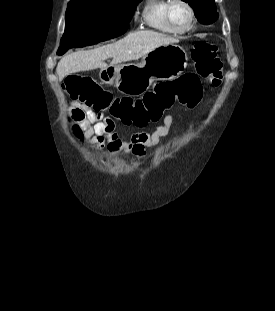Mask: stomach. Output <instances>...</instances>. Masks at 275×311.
<instances>
[{"label": "stomach", "instance_id": "1", "mask_svg": "<svg viewBox=\"0 0 275 311\" xmlns=\"http://www.w3.org/2000/svg\"><path fill=\"white\" fill-rule=\"evenodd\" d=\"M187 61L186 51L172 43L153 49L140 63L103 68L99 77L102 83L113 84L120 93L137 96L145 93L156 78L171 80L178 77L186 69Z\"/></svg>", "mask_w": 275, "mask_h": 311}]
</instances>
